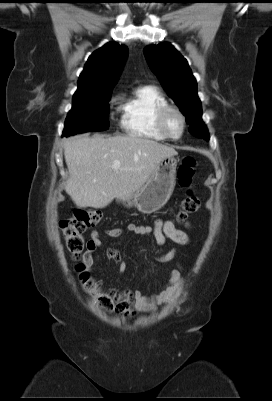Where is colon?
<instances>
[{"label": "colon", "instance_id": "colon-1", "mask_svg": "<svg viewBox=\"0 0 272 401\" xmlns=\"http://www.w3.org/2000/svg\"><path fill=\"white\" fill-rule=\"evenodd\" d=\"M196 161L193 157H185L178 168V181L182 187H189L194 175ZM200 208V199L193 192H188L182 200L178 212V220L184 221L190 214L197 212ZM102 215L95 210L76 209L72 219L61 223L62 233L65 239L66 248L74 260H79L85 248L83 233L100 223ZM80 281L86 291L95 296L99 305L107 310L117 312V304L114 306L113 294L102 291L95 281L89 276L83 265L77 268Z\"/></svg>", "mask_w": 272, "mask_h": 401}]
</instances>
